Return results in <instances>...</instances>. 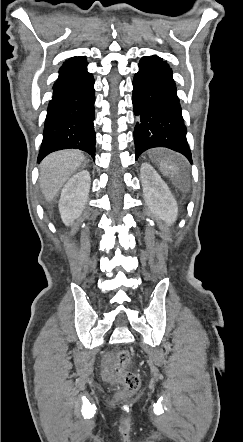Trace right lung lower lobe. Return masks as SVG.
<instances>
[{
	"label": "right lung lower lobe",
	"instance_id": "1",
	"mask_svg": "<svg viewBox=\"0 0 243 442\" xmlns=\"http://www.w3.org/2000/svg\"><path fill=\"white\" fill-rule=\"evenodd\" d=\"M84 57L66 60L53 85L44 124L40 162L51 152L76 148L95 159L94 78Z\"/></svg>",
	"mask_w": 243,
	"mask_h": 442
}]
</instances>
